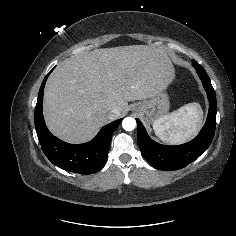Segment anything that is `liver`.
Segmentation results:
<instances>
[{"instance_id":"1","label":"liver","mask_w":236,"mask_h":236,"mask_svg":"<svg viewBox=\"0 0 236 236\" xmlns=\"http://www.w3.org/2000/svg\"><path fill=\"white\" fill-rule=\"evenodd\" d=\"M174 78L168 53L153 46H119L72 56L47 80L43 105L47 127L66 142H87L119 118L129 101L155 96Z\"/></svg>"}]
</instances>
